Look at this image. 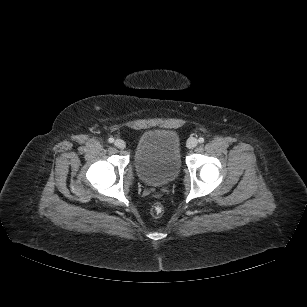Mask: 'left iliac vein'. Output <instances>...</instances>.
I'll return each mask as SVG.
<instances>
[{
	"instance_id": "1",
	"label": "left iliac vein",
	"mask_w": 307,
	"mask_h": 307,
	"mask_svg": "<svg viewBox=\"0 0 307 307\" xmlns=\"http://www.w3.org/2000/svg\"><path fill=\"white\" fill-rule=\"evenodd\" d=\"M197 144H198V141H197V139H195V138H189L188 140H187V147L189 148V149H193V148H195L196 146H197Z\"/></svg>"
}]
</instances>
